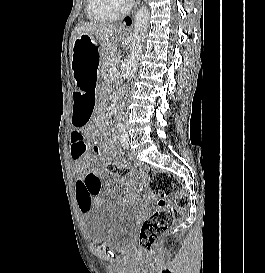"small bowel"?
Returning <instances> with one entry per match:
<instances>
[{"label":"small bowel","mask_w":265,"mask_h":273,"mask_svg":"<svg viewBox=\"0 0 265 273\" xmlns=\"http://www.w3.org/2000/svg\"><path fill=\"white\" fill-rule=\"evenodd\" d=\"M94 91H81L74 93V104H71L72 128H76L71 133V157L74 160V165L77 170L78 179L76 183V201L79 210L84 213L93 206H101L104 199L99 195L103 184V165H93L94 159L88 153V143L86 135H91L95 130L93 123L89 121V113L96 102ZM103 151L110 157V152L107 147ZM116 183L124 188L129 186V182L125 177L115 179ZM110 187V184H107ZM122 201V197L117 198Z\"/></svg>","instance_id":"c3829d8e"}]
</instances>
